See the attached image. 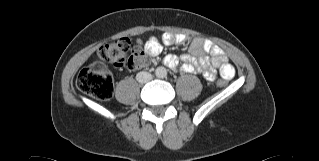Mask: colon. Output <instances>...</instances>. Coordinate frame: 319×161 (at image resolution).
Wrapping results in <instances>:
<instances>
[{
  "mask_svg": "<svg viewBox=\"0 0 319 161\" xmlns=\"http://www.w3.org/2000/svg\"><path fill=\"white\" fill-rule=\"evenodd\" d=\"M99 55L115 67L129 70L140 69L149 63L147 52L141 47L132 49L128 38H119L104 44L99 49ZM217 83L223 86L225 81L220 79ZM77 86L83 93L98 99H109L114 92L112 75L100 62H94L80 71Z\"/></svg>",
  "mask_w": 319,
  "mask_h": 161,
  "instance_id": "5ec220e1",
  "label": "colon"
}]
</instances>
